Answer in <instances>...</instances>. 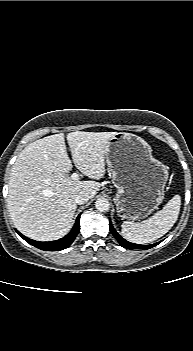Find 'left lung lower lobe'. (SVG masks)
Here are the masks:
<instances>
[{
	"mask_svg": "<svg viewBox=\"0 0 193 351\" xmlns=\"http://www.w3.org/2000/svg\"><path fill=\"white\" fill-rule=\"evenodd\" d=\"M109 227H110V231L113 234V236L117 239V241L119 242V244L127 249H150L156 245H158L160 242L155 243V244H151V245H139V244H134V243H130L128 241H126L125 239H123L114 229V227L112 226V223L109 222Z\"/></svg>",
	"mask_w": 193,
	"mask_h": 351,
	"instance_id": "left-lung-lower-lobe-1",
	"label": "left lung lower lobe"
}]
</instances>
